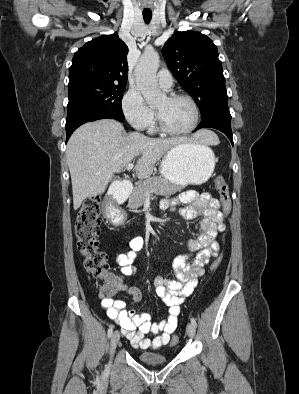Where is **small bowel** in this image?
Instances as JSON below:
<instances>
[{
	"label": "small bowel",
	"instance_id": "obj_1",
	"mask_svg": "<svg viewBox=\"0 0 299 394\" xmlns=\"http://www.w3.org/2000/svg\"><path fill=\"white\" fill-rule=\"evenodd\" d=\"M178 205H185L179 210L182 218L192 220L201 217V233L197 238L187 242V253L180 254L173 260L172 267L176 280H168L161 276H156L153 280L156 295L168 307V316L159 323H152L149 313L127 310V303L123 300L108 299L101 303L108 317L122 328L123 334L133 347L140 350H158L169 343L177 328L181 304L197 285L198 277L204 272V265L210 258L218 255L219 244L216 237L226 229L220 203L210 193L185 191L164 200L161 204L163 209ZM143 246L144 238L135 236L129 241L127 248L115 255L116 263L123 274L129 275L134 272V261ZM119 292L128 295L131 303L138 302L142 297L137 287L127 286L122 282ZM147 334H153L154 338H148Z\"/></svg>",
	"mask_w": 299,
	"mask_h": 394
}]
</instances>
